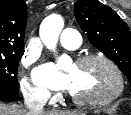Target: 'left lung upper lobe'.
<instances>
[{"label": "left lung upper lobe", "instance_id": "1", "mask_svg": "<svg viewBox=\"0 0 131 115\" xmlns=\"http://www.w3.org/2000/svg\"><path fill=\"white\" fill-rule=\"evenodd\" d=\"M74 14L89 41L115 62L131 83V32L127 24L98 0H77Z\"/></svg>", "mask_w": 131, "mask_h": 115}]
</instances>
